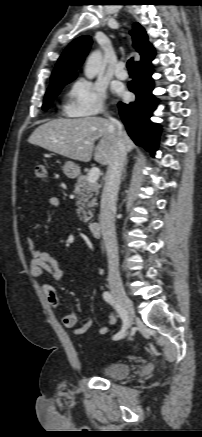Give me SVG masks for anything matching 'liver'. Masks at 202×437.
Listing matches in <instances>:
<instances>
[{
	"mask_svg": "<svg viewBox=\"0 0 202 437\" xmlns=\"http://www.w3.org/2000/svg\"><path fill=\"white\" fill-rule=\"evenodd\" d=\"M117 129L110 120L101 117L54 119L40 125L31 134L28 142L64 157L89 162L94 151V160L101 165L112 161ZM126 152L134 147L133 141L123 130ZM100 139L95 147V141Z\"/></svg>",
	"mask_w": 202,
	"mask_h": 437,
	"instance_id": "1",
	"label": "liver"
}]
</instances>
